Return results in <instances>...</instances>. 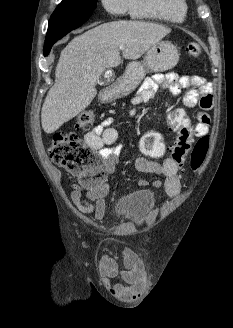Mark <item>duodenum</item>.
I'll return each instance as SVG.
<instances>
[{
	"instance_id": "410a0bca",
	"label": "duodenum",
	"mask_w": 233,
	"mask_h": 328,
	"mask_svg": "<svg viewBox=\"0 0 233 328\" xmlns=\"http://www.w3.org/2000/svg\"><path fill=\"white\" fill-rule=\"evenodd\" d=\"M112 95H113L112 90L110 88H106L102 93V98L104 100H108L112 97Z\"/></svg>"
}]
</instances>
